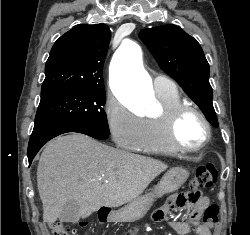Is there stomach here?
I'll use <instances>...</instances> for the list:
<instances>
[{
  "mask_svg": "<svg viewBox=\"0 0 250 235\" xmlns=\"http://www.w3.org/2000/svg\"><path fill=\"white\" fill-rule=\"evenodd\" d=\"M188 177L189 172L183 167L170 169L151 192L135 198L125 207L114 212L111 220L115 222L139 220L148 212L156 198L176 192L186 182Z\"/></svg>",
  "mask_w": 250,
  "mask_h": 235,
  "instance_id": "obj_1",
  "label": "stomach"
}]
</instances>
